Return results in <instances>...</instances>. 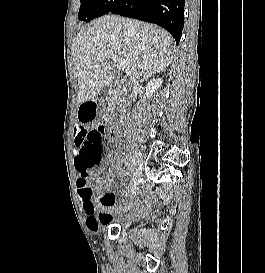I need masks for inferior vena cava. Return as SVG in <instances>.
Listing matches in <instances>:
<instances>
[{
	"label": "inferior vena cava",
	"mask_w": 265,
	"mask_h": 273,
	"mask_svg": "<svg viewBox=\"0 0 265 273\" xmlns=\"http://www.w3.org/2000/svg\"><path fill=\"white\" fill-rule=\"evenodd\" d=\"M125 105H129V102L125 103Z\"/></svg>",
	"instance_id": "inferior-vena-cava-1"
}]
</instances>
